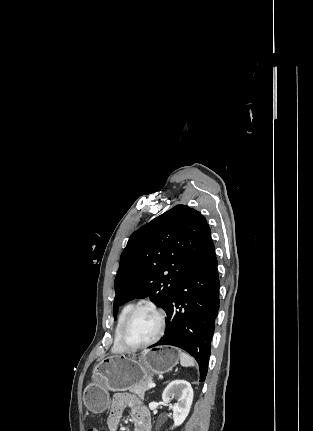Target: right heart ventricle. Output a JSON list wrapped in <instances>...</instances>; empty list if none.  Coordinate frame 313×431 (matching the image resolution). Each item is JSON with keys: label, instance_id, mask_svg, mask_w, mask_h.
<instances>
[{"label": "right heart ventricle", "instance_id": "e07e8e85", "mask_svg": "<svg viewBox=\"0 0 313 431\" xmlns=\"http://www.w3.org/2000/svg\"><path fill=\"white\" fill-rule=\"evenodd\" d=\"M133 307H134V305L132 303H128V304L123 306V308L121 309V311L119 313L116 327H115V331H114V340H113V345H112V351L115 353H121V352L125 351V349L120 345L119 333H120V329H121V326H122L125 318L127 317L128 313L131 311V309Z\"/></svg>", "mask_w": 313, "mask_h": 431}]
</instances>
